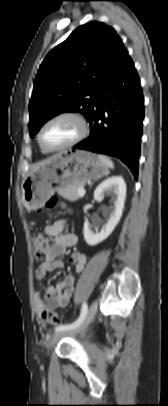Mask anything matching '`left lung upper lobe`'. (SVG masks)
<instances>
[{"mask_svg":"<svg viewBox=\"0 0 168 406\" xmlns=\"http://www.w3.org/2000/svg\"><path fill=\"white\" fill-rule=\"evenodd\" d=\"M124 49L112 27L93 21L78 27L51 50L34 81L30 135L62 112H81L89 121L100 87Z\"/></svg>","mask_w":168,"mask_h":406,"instance_id":"obj_1","label":"left lung upper lobe"}]
</instances>
